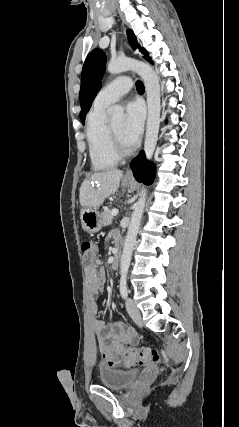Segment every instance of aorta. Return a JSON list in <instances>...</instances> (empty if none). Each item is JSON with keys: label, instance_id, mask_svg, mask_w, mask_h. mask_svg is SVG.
I'll return each instance as SVG.
<instances>
[{"label": "aorta", "instance_id": "1", "mask_svg": "<svg viewBox=\"0 0 239 427\" xmlns=\"http://www.w3.org/2000/svg\"><path fill=\"white\" fill-rule=\"evenodd\" d=\"M107 70L111 74H118L124 71L132 70L143 79L147 94L148 105V118L144 151L146 158L148 160H151L157 144L160 126L161 105L159 78L156 72L149 64L130 58L110 61ZM108 113L113 122L122 121L124 119V108L122 106L114 105L108 109ZM145 202L146 190L143 189L138 201L133 206V213L124 242L123 253L120 263V273L123 277H125L128 273L132 252L136 243V237L144 212Z\"/></svg>", "mask_w": 239, "mask_h": 427}]
</instances>
